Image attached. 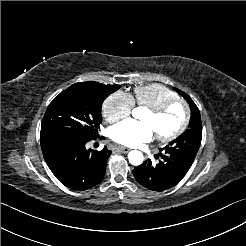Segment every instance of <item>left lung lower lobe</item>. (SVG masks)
I'll use <instances>...</instances> for the list:
<instances>
[{
    "label": "left lung lower lobe",
    "instance_id": "1",
    "mask_svg": "<svg viewBox=\"0 0 246 246\" xmlns=\"http://www.w3.org/2000/svg\"><path fill=\"white\" fill-rule=\"evenodd\" d=\"M162 160L152 164L147 160L133 170L138 183L153 191H164L178 184L186 175L192 161L181 154L159 153Z\"/></svg>",
    "mask_w": 246,
    "mask_h": 246
}]
</instances>
